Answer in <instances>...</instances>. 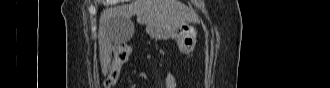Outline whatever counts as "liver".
Here are the masks:
<instances>
[{
  "label": "liver",
  "mask_w": 330,
  "mask_h": 88,
  "mask_svg": "<svg viewBox=\"0 0 330 88\" xmlns=\"http://www.w3.org/2000/svg\"><path fill=\"white\" fill-rule=\"evenodd\" d=\"M137 16V22L147 25V31L166 25L191 22L196 15L179 0H133L132 3L103 10L99 20L98 42L103 74L107 73L111 61L113 43L117 42L114 24L130 21Z\"/></svg>",
  "instance_id": "6515ba94"
}]
</instances>
